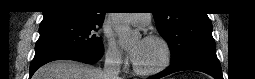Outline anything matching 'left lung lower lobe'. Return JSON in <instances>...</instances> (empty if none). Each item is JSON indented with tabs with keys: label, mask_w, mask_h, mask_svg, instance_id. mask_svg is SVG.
<instances>
[{
	"label": "left lung lower lobe",
	"mask_w": 255,
	"mask_h": 79,
	"mask_svg": "<svg viewBox=\"0 0 255 79\" xmlns=\"http://www.w3.org/2000/svg\"><path fill=\"white\" fill-rule=\"evenodd\" d=\"M183 70H197L207 73L215 79H223L221 66L216 56L215 49L199 50L177 63L171 64L169 68L149 79H159L174 72Z\"/></svg>",
	"instance_id": "left-lung-lower-lobe-1"
}]
</instances>
